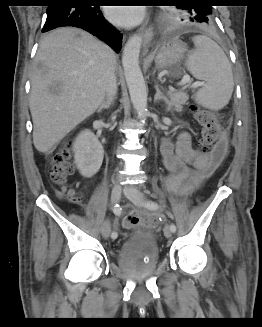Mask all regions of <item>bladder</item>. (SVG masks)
Instances as JSON below:
<instances>
[{
  "instance_id": "bladder-1",
  "label": "bladder",
  "mask_w": 262,
  "mask_h": 327,
  "mask_svg": "<svg viewBox=\"0 0 262 327\" xmlns=\"http://www.w3.org/2000/svg\"><path fill=\"white\" fill-rule=\"evenodd\" d=\"M137 253L148 256L151 263H157L160 257V250L156 236L147 231L131 234L120 246L118 257L121 260L127 259Z\"/></svg>"
}]
</instances>
